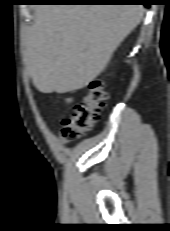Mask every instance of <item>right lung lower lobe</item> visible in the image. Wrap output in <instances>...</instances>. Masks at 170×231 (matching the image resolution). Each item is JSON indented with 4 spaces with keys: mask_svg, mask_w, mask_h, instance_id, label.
Returning a JSON list of instances; mask_svg holds the SVG:
<instances>
[{
    "mask_svg": "<svg viewBox=\"0 0 170 231\" xmlns=\"http://www.w3.org/2000/svg\"><path fill=\"white\" fill-rule=\"evenodd\" d=\"M148 0H33L42 3H141L149 6Z\"/></svg>",
    "mask_w": 170,
    "mask_h": 231,
    "instance_id": "1",
    "label": "right lung lower lobe"
}]
</instances>
